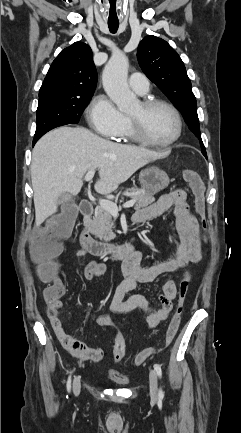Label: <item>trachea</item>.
<instances>
[{
  "label": "trachea",
  "instance_id": "3493384b",
  "mask_svg": "<svg viewBox=\"0 0 241 433\" xmlns=\"http://www.w3.org/2000/svg\"><path fill=\"white\" fill-rule=\"evenodd\" d=\"M108 27L111 33H116L119 27V19L118 14L116 12L117 5L114 2H111L108 5Z\"/></svg>",
  "mask_w": 241,
  "mask_h": 433
}]
</instances>
